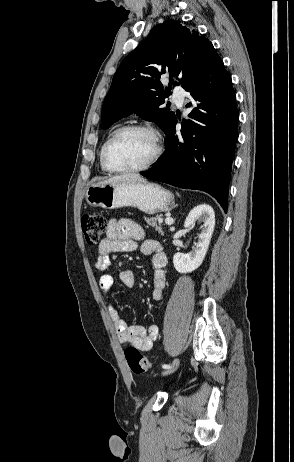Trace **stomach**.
Returning a JSON list of instances; mask_svg holds the SVG:
<instances>
[{
  "instance_id": "0dacf381",
  "label": "stomach",
  "mask_w": 294,
  "mask_h": 462,
  "mask_svg": "<svg viewBox=\"0 0 294 462\" xmlns=\"http://www.w3.org/2000/svg\"><path fill=\"white\" fill-rule=\"evenodd\" d=\"M86 201L105 209L136 207L147 214L168 212L175 206L173 195L160 185L132 180L92 185L86 191Z\"/></svg>"
}]
</instances>
